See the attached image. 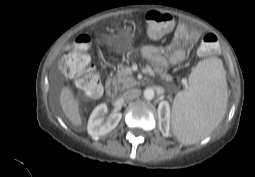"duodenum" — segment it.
Here are the masks:
<instances>
[{"mask_svg": "<svg viewBox=\"0 0 255 177\" xmlns=\"http://www.w3.org/2000/svg\"><path fill=\"white\" fill-rule=\"evenodd\" d=\"M106 92L110 97H114L117 93L116 84L111 78L106 80Z\"/></svg>", "mask_w": 255, "mask_h": 177, "instance_id": "410a0bca", "label": "duodenum"}]
</instances>
